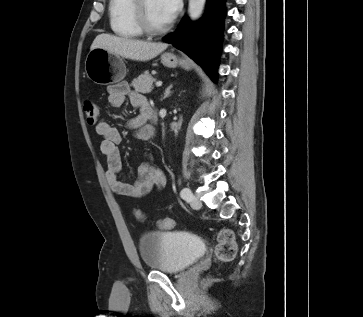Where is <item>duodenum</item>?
Wrapping results in <instances>:
<instances>
[{
    "label": "duodenum",
    "mask_w": 363,
    "mask_h": 317,
    "mask_svg": "<svg viewBox=\"0 0 363 317\" xmlns=\"http://www.w3.org/2000/svg\"><path fill=\"white\" fill-rule=\"evenodd\" d=\"M149 117L152 120L155 119V111L154 110L149 111ZM155 136H156V131H155L154 127H150L149 128V139H153Z\"/></svg>",
    "instance_id": "duodenum-1"
}]
</instances>
